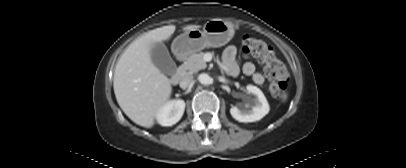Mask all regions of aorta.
I'll use <instances>...</instances> for the list:
<instances>
[{"label":"aorta","instance_id":"aorta-1","mask_svg":"<svg viewBox=\"0 0 406 168\" xmlns=\"http://www.w3.org/2000/svg\"><path fill=\"white\" fill-rule=\"evenodd\" d=\"M198 80L201 84L208 85L211 83V78L207 74H200Z\"/></svg>","mask_w":406,"mask_h":168}]
</instances>
